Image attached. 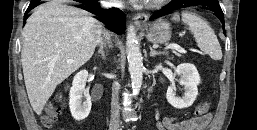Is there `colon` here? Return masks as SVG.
I'll list each match as a JSON object with an SVG mask.
<instances>
[{
	"label": "colon",
	"mask_w": 257,
	"mask_h": 130,
	"mask_svg": "<svg viewBox=\"0 0 257 130\" xmlns=\"http://www.w3.org/2000/svg\"><path fill=\"white\" fill-rule=\"evenodd\" d=\"M62 101V96L58 95L56 103L50 104L46 111L45 114L43 115V123L46 126H51L53 122L55 121L57 115L60 113L62 109L61 105ZM210 108V102L209 101H203L200 104L197 105L195 109V114L197 117H203L206 116Z\"/></svg>",
	"instance_id": "obj_1"
}]
</instances>
